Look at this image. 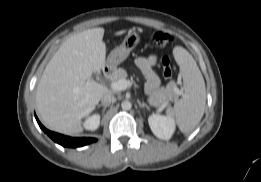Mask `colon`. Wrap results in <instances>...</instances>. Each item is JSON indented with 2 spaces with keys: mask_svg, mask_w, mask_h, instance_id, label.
I'll use <instances>...</instances> for the list:
<instances>
[{
  "mask_svg": "<svg viewBox=\"0 0 261 182\" xmlns=\"http://www.w3.org/2000/svg\"><path fill=\"white\" fill-rule=\"evenodd\" d=\"M151 39L152 42L157 47H161V48L170 46L174 41V37L171 34L164 31H154L151 34ZM161 65H162V73L164 78L166 80H171L173 71H172L170 59L167 56H164L162 58Z\"/></svg>",
  "mask_w": 261,
  "mask_h": 182,
  "instance_id": "obj_1",
  "label": "colon"
}]
</instances>
